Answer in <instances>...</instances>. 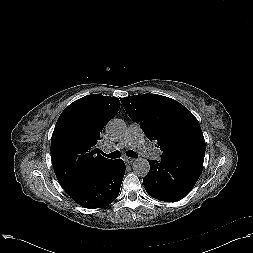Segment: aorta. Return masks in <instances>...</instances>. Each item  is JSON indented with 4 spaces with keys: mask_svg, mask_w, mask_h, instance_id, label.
Returning <instances> with one entry per match:
<instances>
[{
    "mask_svg": "<svg viewBox=\"0 0 253 253\" xmlns=\"http://www.w3.org/2000/svg\"><path fill=\"white\" fill-rule=\"evenodd\" d=\"M126 129V125L122 120H111L106 125V132L112 136L121 135ZM150 170L149 162L144 158H138L133 163V171L139 177H144Z\"/></svg>",
    "mask_w": 253,
    "mask_h": 253,
    "instance_id": "obj_1",
    "label": "aorta"
}]
</instances>
